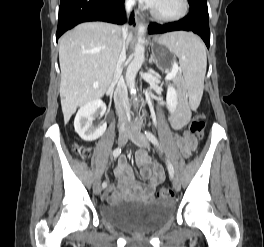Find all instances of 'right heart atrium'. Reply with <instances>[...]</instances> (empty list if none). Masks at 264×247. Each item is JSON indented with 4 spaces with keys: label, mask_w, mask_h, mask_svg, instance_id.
<instances>
[{
    "label": "right heart atrium",
    "mask_w": 264,
    "mask_h": 247,
    "mask_svg": "<svg viewBox=\"0 0 264 247\" xmlns=\"http://www.w3.org/2000/svg\"><path fill=\"white\" fill-rule=\"evenodd\" d=\"M126 3H127L128 5H132V4H133V0H126Z\"/></svg>",
    "instance_id": "obj_1"
}]
</instances>
